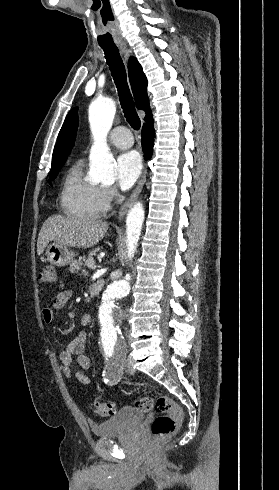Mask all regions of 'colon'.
<instances>
[{
	"mask_svg": "<svg viewBox=\"0 0 279 490\" xmlns=\"http://www.w3.org/2000/svg\"><path fill=\"white\" fill-rule=\"evenodd\" d=\"M41 284L51 285L56 281L55 267L47 264L39 275ZM154 400L151 397H142L137 400V408L142 412H149ZM93 412L97 416L107 417L114 414L111 402H95ZM156 418L151 426L155 442H172L177 423L183 418V411L176 405L170 396L160 395L155 399Z\"/></svg>",
	"mask_w": 279,
	"mask_h": 490,
	"instance_id": "obj_1",
	"label": "colon"
}]
</instances>
